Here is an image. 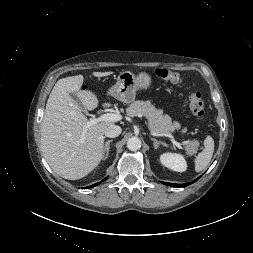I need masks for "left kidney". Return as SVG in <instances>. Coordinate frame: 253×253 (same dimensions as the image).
I'll return each mask as SVG.
<instances>
[{"label": "left kidney", "mask_w": 253, "mask_h": 253, "mask_svg": "<svg viewBox=\"0 0 253 253\" xmlns=\"http://www.w3.org/2000/svg\"><path fill=\"white\" fill-rule=\"evenodd\" d=\"M160 162L165 167L177 172H184L187 168L186 161L180 154L163 153L160 156Z\"/></svg>", "instance_id": "1"}]
</instances>
